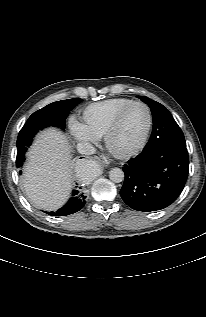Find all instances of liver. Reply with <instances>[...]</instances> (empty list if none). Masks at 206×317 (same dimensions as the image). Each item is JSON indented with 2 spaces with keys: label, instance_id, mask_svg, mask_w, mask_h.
<instances>
[{
  "label": "liver",
  "instance_id": "liver-1",
  "mask_svg": "<svg viewBox=\"0 0 206 317\" xmlns=\"http://www.w3.org/2000/svg\"><path fill=\"white\" fill-rule=\"evenodd\" d=\"M28 156L22 179L26 195L36 207L59 209L69 198L73 177L66 135L54 128L44 130Z\"/></svg>",
  "mask_w": 206,
  "mask_h": 317
}]
</instances>
